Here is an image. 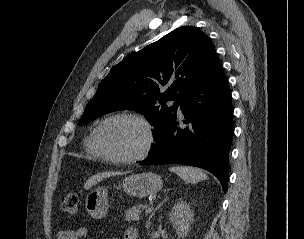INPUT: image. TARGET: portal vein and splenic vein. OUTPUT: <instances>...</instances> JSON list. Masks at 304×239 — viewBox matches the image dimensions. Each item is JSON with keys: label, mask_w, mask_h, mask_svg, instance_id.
<instances>
[{"label": "portal vein and splenic vein", "mask_w": 304, "mask_h": 239, "mask_svg": "<svg viewBox=\"0 0 304 239\" xmlns=\"http://www.w3.org/2000/svg\"><path fill=\"white\" fill-rule=\"evenodd\" d=\"M152 211V206L146 209V213H150Z\"/></svg>", "instance_id": "1"}]
</instances>
